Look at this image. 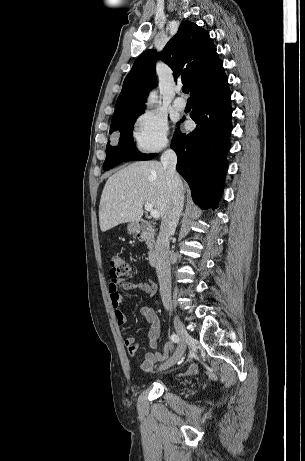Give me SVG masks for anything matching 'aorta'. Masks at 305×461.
Wrapping results in <instances>:
<instances>
[{"instance_id":"obj_1","label":"aorta","mask_w":305,"mask_h":461,"mask_svg":"<svg viewBox=\"0 0 305 461\" xmlns=\"http://www.w3.org/2000/svg\"><path fill=\"white\" fill-rule=\"evenodd\" d=\"M155 99H156L155 94H151V96L148 98L147 106H148V107L152 106L153 103L155 102Z\"/></svg>"}]
</instances>
